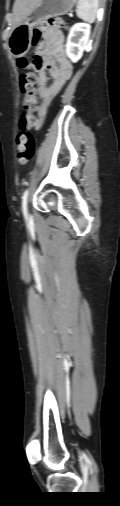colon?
Here are the masks:
<instances>
[{
  "instance_id": "1",
  "label": "colon",
  "mask_w": 120,
  "mask_h": 506,
  "mask_svg": "<svg viewBox=\"0 0 120 506\" xmlns=\"http://www.w3.org/2000/svg\"><path fill=\"white\" fill-rule=\"evenodd\" d=\"M67 27L65 21L60 17H51L42 21L33 32V44L36 45L40 38L51 30H62ZM37 63L36 59L20 57L17 60L18 66L25 70L20 77V86L24 93L22 104V117L20 121V132L16 139L17 160L21 164L29 162L35 152V138L31 133V127L35 123L33 111L36 108L38 97L36 88L39 83L38 76L30 69Z\"/></svg>"
}]
</instances>
